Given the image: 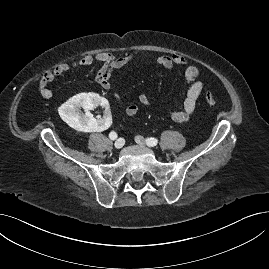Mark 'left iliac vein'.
I'll list each match as a JSON object with an SVG mask.
<instances>
[{"label": "left iliac vein", "instance_id": "obj_1", "mask_svg": "<svg viewBox=\"0 0 269 269\" xmlns=\"http://www.w3.org/2000/svg\"><path fill=\"white\" fill-rule=\"evenodd\" d=\"M135 141H136L139 145H141V146H145V140H144V138H143L142 136H136V137H135Z\"/></svg>", "mask_w": 269, "mask_h": 269}]
</instances>
